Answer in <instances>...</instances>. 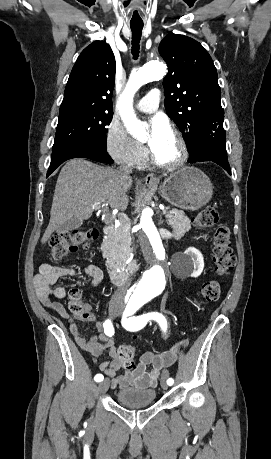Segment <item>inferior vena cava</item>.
<instances>
[{
  "label": "inferior vena cava",
  "mask_w": 271,
  "mask_h": 459,
  "mask_svg": "<svg viewBox=\"0 0 271 459\" xmlns=\"http://www.w3.org/2000/svg\"><path fill=\"white\" fill-rule=\"evenodd\" d=\"M117 172H119V174H131L132 168H129V166H120ZM127 287H128V283H126V285H119L118 289H116L114 293V297H119V299H123L126 293Z\"/></svg>",
  "instance_id": "obj_1"
}]
</instances>
